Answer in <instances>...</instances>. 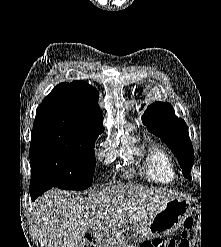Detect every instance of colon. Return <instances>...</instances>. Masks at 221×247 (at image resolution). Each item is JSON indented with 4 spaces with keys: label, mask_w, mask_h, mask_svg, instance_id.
<instances>
[{
    "label": "colon",
    "mask_w": 221,
    "mask_h": 247,
    "mask_svg": "<svg viewBox=\"0 0 221 247\" xmlns=\"http://www.w3.org/2000/svg\"><path fill=\"white\" fill-rule=\"evenodd\" d=\"M192 227L193 220L187 219L184 222L183 231L178 241H175L174 239H154L143 242L140 247H190L189 232L192 229ZM81 247H93L92 240L90 238H86V240L82 243Z\"/></svg>",
    "instance_id": "1"
}]
</instances>
